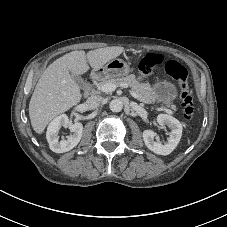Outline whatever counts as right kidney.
Masks as SVG:
<instances>
[{
	"label": "right kidney",
	"instance_id": "right-kidney-1",
	"mask_svg": "<svg viewBox=\"0 0 227 227\" xmlns=\"http://www.w3.org/2000/svg\"><path fill=\"white\" fill-rule=\"evenodd\" d=\"M61 127L68 128L73 135L67 136V140L59 141V130ZM83 125L80 122L72 123L66 114L56 117L49 124L46 131V139L50 149L55 153H65L72 150L81 140Z\"/></svg>",
	"mask_w": 227,
	"mask_h": 227
}]
</instances>
